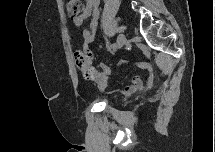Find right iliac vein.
<instances>
[{
    "mask_svg": "<svg viewBox=\"0 0 215 152\" xmlns=\"http://www.w3.org/2000/svg\"><path fill=\"white\" fill-rule=\"evenodd\" d=\"M125 43H126L125 35L120 33L117 37V49L122 48Z\"/></svg>",
    "mask_w": 215,
    "mask_h": 152,
    "instance_id": "63e3f726",
    "label": "right iliac vein"
}]
</instances>
